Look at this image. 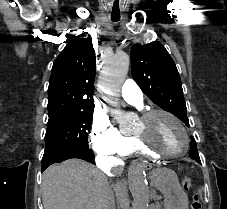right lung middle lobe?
Returning <instances> with one entry per match:
<instances>
[{"label":"right lung middle lobe","instance_id":"right-lung-middle-lobe-1","mask_svg":"<svg viewBox=\"0 0 227 209\" xmlns=\"http://www.w3.org/2000/svg\"><path fill=\"white\" fill-rule=\"evenodd\" d=\"M93 110V99L66 98L53 102L48 108L42 166H46V158L52 154L88 148Z\"/></svg>","mask_w":227,"mask_h":209}]
</instances>
